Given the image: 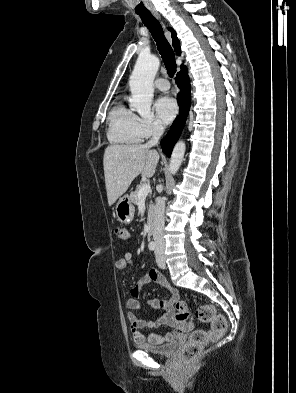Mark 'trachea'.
Returning a JSON list of instances; mask_svg holds the SVG:
<instances>
[{"mask_svg":"<svg viewBox=\"0 0 296 393\" xmlns=\"http://www.w3.org/2000/svg\"><path fill=\"white\" fill-rule=\"evenodd\" d=\"M144 25L149 29L151 35L153 36L156 45L158 47L159 53L163 59L164 65L170 76H173L176 72V62L174 57V52L164 36L162 26L157 21V19L151 14V12H141L137 13Z\"/></svg>","mask_w":296,"mask_h":393,"instance_id":"3493384b","label":"trachea"}]
</instances>
